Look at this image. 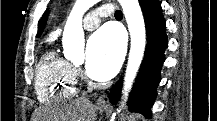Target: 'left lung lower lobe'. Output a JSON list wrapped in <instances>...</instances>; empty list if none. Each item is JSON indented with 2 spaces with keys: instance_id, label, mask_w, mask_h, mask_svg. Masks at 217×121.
Instances as JSON below:
<instances>
[{
  "instance_id": "obj_1",
  "label": "left lung lower lobe",
  "mask_w": 217,
  "mask_h": 121,
  "mask_svg": "<svg viewBox=\"0 0 217 121\" xmlns=\"http://www.w3.org/2000/svg\"><path fill=\"white\" fill-rule=\"evenodd\" d=\"M145 18L147 46L145 58L129 98L130 111L151 118V107L157 95L160 71L164 62V50L168 45L166 23L159 0H139ZM122 81L113 88L110 99L116 103L121 92Z\"/></svg>"
}]
</instances>
